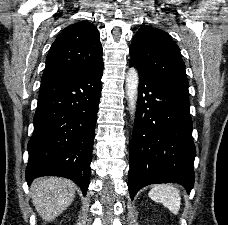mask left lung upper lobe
Wrapping results in <instances>:
<instances>
[{
    "mask_svg": "<svg viewBox=\"0 0 228 225\" xmlns=\"http://www.w3.org/2000/svg\"><path fill=\"white\" fill-rule=\"evenodd\" d=\"M130 64L153 80L189 86L179 47L165 31L145 26L134 35Z\"/></svg>",
    "mask_w": 228,
    "mask_h": 225,
    "instance_id": "1",
    "label": "left lung upper lobe"
}]
</instances>
